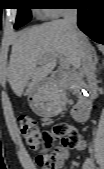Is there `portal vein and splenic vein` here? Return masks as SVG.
<instances>
[{"label":"portal vein and splenic vein","instance_id":"portal-vein-and-splenic-vein-1","mask_svg":"<svg viewBox=\"0 0 104 169\" xmlns=\"http://www.w3.org/2000/svg\"><path fill=\"white\" fill-rule=\"evenodd\" d=\"M54 57L59 59L60 64L63 68L67 69L70 67L71 63L62 55H55Z\"/></svg>","mask_w":104,"mask_h":169}]
</instances>
